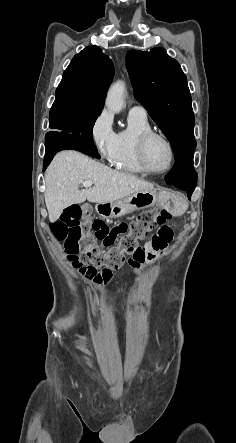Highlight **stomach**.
Returning a JSON list of instances; mask_svg holds the SVG:
<instances>
[{
	"label": "stomach",
	"instance_id": "0dacf381",
	"mask_svg": "<svg viewBox=\"0 0 236 443\" xmlns=\"http://www.w3.org/2000/svg\"><path fill=\"white\" fill-rule=\"evenodd\" d=\"M160 204L174 215H181L187 208V202L178 194L155 189L142 190L110 203H98L97 213L108 219L119 218L137 210Z\"/></svg>",
	"mask_w": 236,
	"mask_h": 443
}]
</instances>
